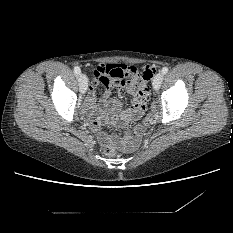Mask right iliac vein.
Wrapping results in <instances>:
<instances>
[{
    "label": "right iliac vein",
    "mask_w": 233,
    "mask_h": 233,
    "mask_svg": "<svg viewBox=\"0 0 233 233\" xmlns=\"http://www.w3.org/2000/svg\"><path fill=\"white\" fill-rule=\"evenodd\" d=\"M78 80H79V85H80V92L85 93L87 91V88H88V79H87L86 75L80 74L78 76Z\"/></svg>",
    "instance_id": "63e3f726"
}]
</instances>
